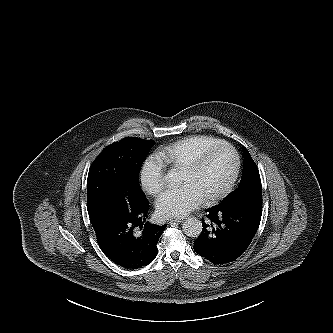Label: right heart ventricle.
Returning a JSON list of instances; mask_svg holds the SVG:
<instances>
[{
    "instance_id": "right-heart-ventricle-1",
    "label": "right heart ventricle",
    "mask_w": 333,
    "mask_h": 333,
    "mask_svg": "<svg viewBox=\"0 0 333 333\" xmlns=\"http://www.w3.org/2000/svg\"><path fill=\"white\" fill-rule=\"evenodd\" d=\"M221 141L208 135L189 136L163 147L158 154L170 167L181 170L200 152Z\"/></svg>"
}]
</instances>
